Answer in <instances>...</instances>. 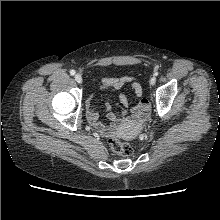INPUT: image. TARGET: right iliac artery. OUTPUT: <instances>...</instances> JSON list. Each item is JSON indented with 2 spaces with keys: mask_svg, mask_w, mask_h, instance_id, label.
I'll use <instances>...</instances> for the list:
<instances>
[{
  "mask_svg": "<svg viewBox=\"0 0 220 220\" xmlns=\"http://www.w3.org/2000/svg\"><path fill=\"white\" fill-rule=\"evenodd\" d=\"M70 74L71 75H75V71L74 70H70Z\"/></svg>",
  "mask_w": 220,
  "mask_h": 220,
  "instance_id": "1",
  "label": "right iliac artery"
}]
</instances>
